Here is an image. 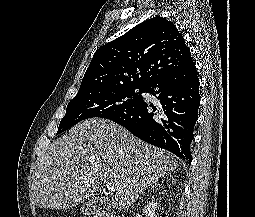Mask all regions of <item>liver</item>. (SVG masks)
Returning <instances> with one entry per match:
<instances>
[{"label": "liver", "instance_id": "1", "mask_svg": "<svg viewBox=\"0 0 255 217\" xmlns=\"http://www.w3.org/2000/svg\"><path fill=\"white\" fill-rule=\"evenodd\" d=\"M177 167L171 153L115 122L93 118L75 125L39 157L32 172L31 198L40 208L69 209L94 196L105 180L116 189L111 205L122 210Z\"/></svg>", "mask_w": 255, "mask_h": 217}]
</instances>
